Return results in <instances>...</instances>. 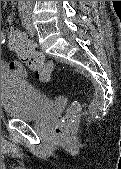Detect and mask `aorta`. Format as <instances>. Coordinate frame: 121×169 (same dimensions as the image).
I'll use <instances>...</instances> for the list:
<instances>
[{
    "label": "aorta",
    "mask_w": 121,
    "mask_h": 169,
    "mask_svg": "<svg viewBox=\"0 0 121 169\" xmlns=\"http://www.w3.org/2000/svg\"><path fill=\"white\" fill-rule=\"evenodd\" d=\"M33 1H19L21 4H31Z\"/></svg>",
    "instance_id": "aorta-1"
}]
</instances>
